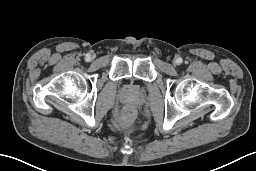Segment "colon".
Masks as SVG:
<instances>
[{"instance_id":"obj_1","label":"colon","mask_w":256,"mask_h":171,"mask_svg":"<svg viewBox=\"0 0 256 171\" xmlns=\"http://www.w3.org/2000/svg\"><path fill=\"white\" fill-rule=\"evenodd\" d=\"M135 119V112L132 108L124 109L121 114L119 115V121L122 124H129L132 123Z\"/></svg>"}]
</instances>
